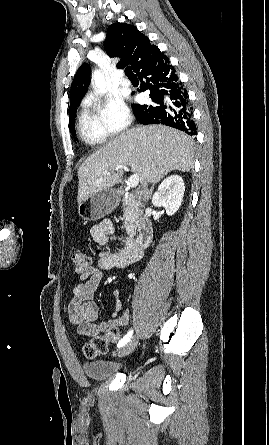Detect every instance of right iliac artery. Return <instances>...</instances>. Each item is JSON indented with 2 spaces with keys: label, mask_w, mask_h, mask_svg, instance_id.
Segmentation results:
<instances>
[{
  "label": "right iliac artery",
  "mask_w": 269,
  "mask_h": 445,
  "mask_svg": "<svg viewBox=\"0 0 269 445\" xmlns=\"http://www.w3.org/2000/svg\"><path fill=\"white\" fill-rule=\"evenodd\" d=\"M133 330L129 331L117 344V347L124 346L127 342L130 341V338L132 337Z\"/></svg>",
  "instance_id": "right-iliac-artery-1"
}]
</instances>
